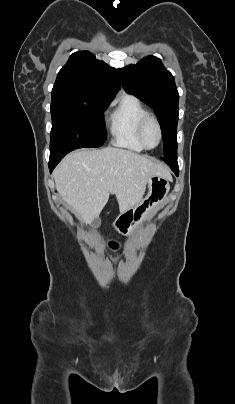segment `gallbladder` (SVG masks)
I'll return each mask as SVG.
<instances>
[{
	"label": "gallbladder",
	"instance_id": "1",
	"mask_svg": "<svg viewBox=\"0 0 235 404\" xmlns=\"http://www.w3.org/2000/svg\"><path fill=\"white\" fill-rule=\"evenodd\" d=\"M100 223H101V221H100L99 217H95L94 219H92L90 224L93 227H98V226H100Z\"/></svg>",
	"mask_w": 235,
	"mask_h": 404
}]
</instances>
